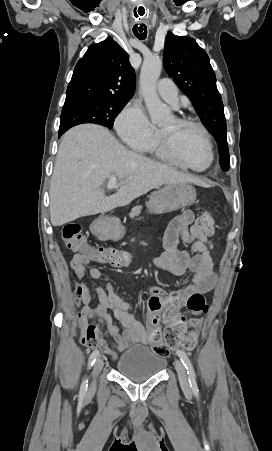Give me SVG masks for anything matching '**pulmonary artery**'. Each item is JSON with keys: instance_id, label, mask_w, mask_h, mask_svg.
Listing matches in <instances>:
<instances>
[{"instance_id": "e3ab8cb5", "label": "pulmonary artery", "mask_w": 272, "mask_h": 451, "mask_svg": "<svg viewBox=\"0 0 272 451\" xmlns=\"http://www.w3.org/2000/svg\"><path fill=\"white\" fill-rule=\"evenodd\" d=\"M157 91L163 100L173 105L178 103V88L172 80L161 79L157 84Z\"/></svg>"}]
</instances>
